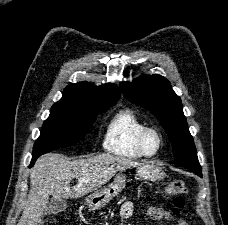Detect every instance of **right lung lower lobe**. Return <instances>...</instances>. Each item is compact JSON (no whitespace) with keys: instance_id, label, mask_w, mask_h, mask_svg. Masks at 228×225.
<instances>
[{"instance_id":"1","label":"right lung lower lobe","mask_w":228,"mask_h":225,"mask_svg":"<svg viewBox=\"0 0 228 225\" xmlns=\"http://www.w3.org/2000/svg\"><path fill=\"white\" fill-rule=\"evenodd\" d=\"M45 153H48V152H42V153L33 154V158H32V161H31V165H30V166H32V165L35 163L36 159H37L39 156H41V155H43V154H45Z\"/></svg>"}]
</instances>
